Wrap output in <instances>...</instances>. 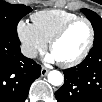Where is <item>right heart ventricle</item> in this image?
<instances>
[{"instance_id": "1", "label": "right heart ventricle", "mask_w": 102, "mask_h": 102, "mask_svg": "<svg viewBox=\"0 0 102 102\" xmlns=\"http://www.w3.org/2000/svg\"><path fill=\"white\" fill-rule=\"evenodd\" d=\"M76 18H78L77 15L59 9L38 11L31 17L32 24L47 42H49L66 23Z\"/></svg>"}]
</instances>
